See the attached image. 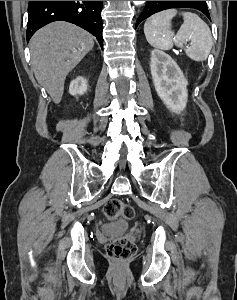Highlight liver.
<instances>
[{
	"instance_id": "6515ba94",
	"label": "liver",
	"mask_w": 237,
	"mask_h": 300,
	"mask_svg": "<svg viewBox=\"0 0 237 300\" xmlns=\"http://www.w3.org/2000/svg\"><path fill=\"white\" fill-rule=\"evenodd\" d=\"M94 47L92 35L64 21L46 25L30 41L31 67L37 83L60 103L65 79Z\"/></svg>"
}]
</instances>
